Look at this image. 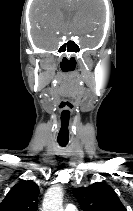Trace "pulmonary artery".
I'll list each match as a JSON object with an SVG mask.
<instances>
[{
	"instance_id": "1",
	"label": "pulmonary artery",
	"mask_w": 133,
	"mask_h": 211,
	"mask_svg": "<svg viewBox=\"0 0 133 211\" xmlns=\"http://www.w3.org/2000/svg\"><path fill=\"white\" fill-rule=\"evenodd\" d=\"M64 211H78L73 204H67L64 208Z\"/></svg>"
}]
</instances>
